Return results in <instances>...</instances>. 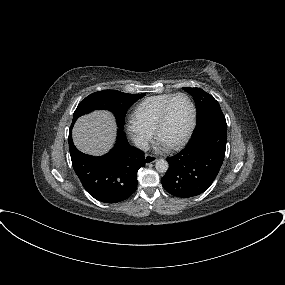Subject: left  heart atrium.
<instances>
[{
    "label": "left heart atrium",
    "instance_id": "left-heart-atrium-1",
    "mask_svg": "<svg viewBox=\"0 0 285 285\" xmlns=\"http://www.w3.org/2000/svg\"><path fill=\"white\" fill-rule=\"evenodd\" d=\"M159 146H160V148H165L167 145H165L164 143H162V142L159 140Z\"/></svg>",
    "mask_w": 285,
    "mask_h": 285
}]
</instances>
